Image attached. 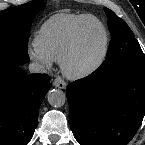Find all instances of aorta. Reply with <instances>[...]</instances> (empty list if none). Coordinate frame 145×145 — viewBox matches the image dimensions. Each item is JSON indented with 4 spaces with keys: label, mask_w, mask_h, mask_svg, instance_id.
I'll return each instance as SVG.
<instances>
[{
    "label": "aorta",
    "mask_w": 145,
    "mask_h": 145,
    "mask_svg": "<svg viewBox=\"0 0 145 145\" xmlns=\"http://www.w3.org/2000/svg\"><path fill=\"white\" fill-rule=\"evenodd\" d=\"M48 102L53 107H61L66 102V94L60 89H52L47 94Z\"/></svg>",
    "instance_id": "762f6f07"
}]
</instances>
